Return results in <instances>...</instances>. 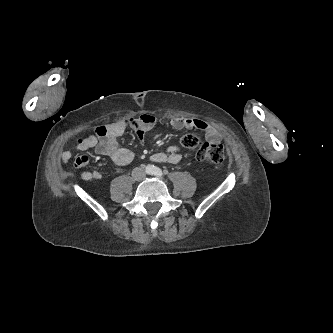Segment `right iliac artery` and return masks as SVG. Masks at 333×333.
Listing matches in <instances>:
<instances>
[{
  "instance_id": "obj_1",
  "label": "right iliac artery",
  "mask_w": 333,
  "mask_h": 333,
  "mask_svg": "<svg viewBox=\"0 0 333 333\" xmlns=\"http://www.w3.org/2000/svg\"><path fill=\"white\" fill-rule=\"evenodd\" d=\"M146 172H147L148 174H153V172H154L153 167H152V166H148V167L146 168Z\"/></svg>"
}]
</instances>
